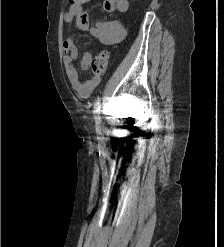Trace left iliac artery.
<instances>
[{"label": "left iliac artery", "instance_id": "left-iliac-artery-1", "mask_svg": "<svg viewBox=\"0 0 224 247\" xmlns=\"http://www.w3.org/2000/svg\"><path fill=\"white\" fill-rule=\"evenodd\" d=\"M101 108V98H97L95 104H94V119L96 123V130L98 132L101 131V116H100V110Z\"/></svg>", "mask_w": 224, "mask_h": 247}]
</instances>
